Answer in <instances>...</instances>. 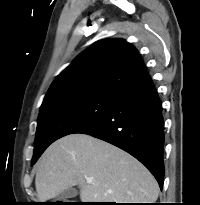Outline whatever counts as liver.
I'll return each instance as SVG.
<instances>
[{"mask_svg":"<svg viewBox=\"0 0 200 205\" xmlns=\"http://www.w3.org/2000/svg\"><path fill=\"white\" fill-rule=\"evenodd\" d=\"M76 185L82 202L152 203L159 195L157 181L138 160L85 134L58 139L37 164L35 186L41 202Z\"/></svg>","mask_w":200,"mask_h":205,"instance_id":"obj_1","label":"liver"}]
</instances>
